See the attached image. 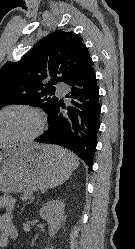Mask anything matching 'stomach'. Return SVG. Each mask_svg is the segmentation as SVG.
Returning <instances> with one entry per match:
<instances>
[{"mask_svg":"<svg viewBox=\"0 0 135 249\" xmlns=\"http://www.w3.org/2000/svg\"><path fill=\"white\" fill-rule=\"evenodd\" d=\"M58 149L40 144L0 145V191L32 192L63 183L75 166Z\"/></svg>","mask_w":135,"mask_h":249,"instance_id":"stomach-1","label":"stomach"}]
</instances>
